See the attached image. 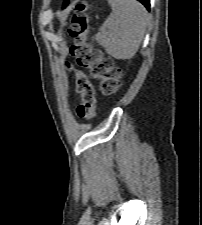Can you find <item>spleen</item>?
I'll list each match as a JSON object with an SVG mask.
<instances>
[{
	"instance_id": "1",
	"label": "spleen",
	"mask_w": 202,
	"mask_h": 225,
	"mask_svg": "<svg viewBox=\"0 0 202 225\" xmlns=\"http://www.w3.org/2000/svg\"><path fill=\"white\" fill-rule=\"evenodd\" d=\"M112 12L94 39L116 59L134 57L144 38L150 17L136 0H108Z\"/></svg>"
}]
</instances>
